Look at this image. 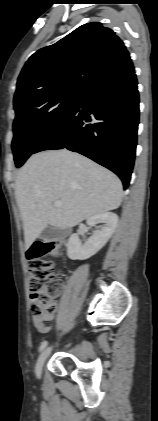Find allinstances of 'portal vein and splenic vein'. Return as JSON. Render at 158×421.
Wrapping results in <instances>:
<instances>
[{"label":"portal vein and splenic vein","mask_w":158,"mask_h":421,"mask_svg":"<svg viewBox=\"0 0 158 421\" xmlns=\"http://www.w3.org/2000/svg\"><path fill=\"white\" fill-rule=\"evenodd\" d=\"M61 205H62V204H61V202H60V201H55V202H54V206H55V207H61Z\"/></svg>","instance_id":"18ae733b"}]
</instances>
